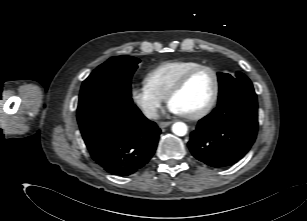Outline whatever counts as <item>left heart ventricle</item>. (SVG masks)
<instances>
[{
    "label": "left heart ventricle",
    "instance_id": "obj_1",
    "mask_svg": "<svg viewBox=\"0 0 307 221\" xmlns=\"http://www.w3.org/2000/svg\"><path fill=\"white\" fill-rule=\"evenodd\" d=\"M214 89L213 75L208 70L195 73L186 86L172 98L170 104L181 114H193L201 110L210 100Z\"/></svg>",
    "mask_w": 307,
    "mask_h": 221
}]
</instances>
